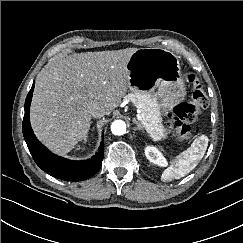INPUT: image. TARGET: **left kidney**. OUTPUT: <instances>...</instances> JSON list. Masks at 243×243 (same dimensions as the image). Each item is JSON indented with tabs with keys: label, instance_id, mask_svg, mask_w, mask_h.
I'll return each instance as SVG.
<instances>
[{
	"label": "left kidney",
	"instance_id": "5707ae66",
	"mask_svg": "<svg viewBox=\"0 0 243 243\" xmlns=\"http://www.w3.org/2000/svg\"><path fill=\"white\" fill-rule=\"evenodd\" d=\"M145 155L147 159L158 166H166L167 165V160L165 157L162 155V153L154 146H147L145 148Z\"/></svg>",
	"mask_w": 243,
	"mask_h": 243
}]
</instances>
